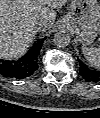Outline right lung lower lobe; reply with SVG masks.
<instances>
[{"label": "right lung lower lobe", "mask_w": 100, "mask_h": 118, "mask_svg": "<svg viewBox=\"0 0 100 118\" xmlns=\"http://www.w3.org/2000/svg\"><path fill=\"white\" fill-rule=\"evenodd\" d=\"M41 49V42H38L32 50L18 61H1L0 74L9 77L22 79L31 76L38 69V54Z\"/></svg>", "instance_id": "obj_1"}]
</instances>
